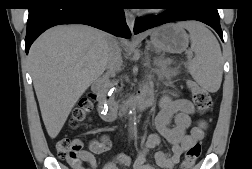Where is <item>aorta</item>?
I'll return each instance as SVG.
<instances>
[{"label": "aorta", "mask_w": 252, "mask_h": 169, "mask_svg": "<svg viewBox=\"0 0 252 169\" xmlns=\"http://www.w3.org/2000/svg\"><path fill=\"white\" fill-rule=\"evenodd\" d=\"M129 133L130 135H135L136 133V116H135V112H131L130 113V117H129Z\"/></svg>", "instance_id": "762f6f07"}]
</instances>
